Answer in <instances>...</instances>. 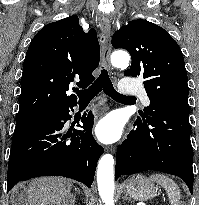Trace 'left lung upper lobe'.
Here are the masks:
<instances>
[{"instance_id": "obj_1", "label": "left lung upper lobe", "mask_w": 199, "mask_h": 205, "mask_svg": "<svg viewBox=\"0 0 199 205\" xmlns=\"http://www.w3.org/2000/svg\"><path fill=\"white\" fill-rule=\"evenodd\" d=\"M112 45L130 53L132 64L124 75L145 79L143 84L150 104L190 112L183 54L166 30L146 20L136 19L114 33ZM144 112L141 114L143 120L149 115L146 110Z\"/></svg>"}]
</instances>
